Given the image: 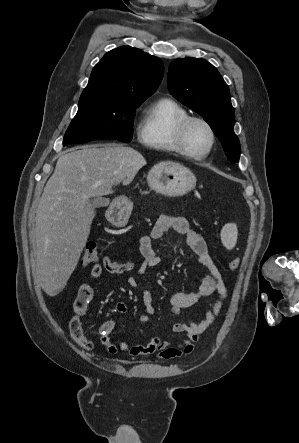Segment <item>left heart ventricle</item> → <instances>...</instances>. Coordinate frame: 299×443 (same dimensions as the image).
Wrapping results in <instances>:
<instances>
[{
    "label": "left heart ventricle",
    "instance_id": "obj_1",
    "mask_svg": "<svg viewBox=\"0 0 299 443\" xmlns=\"http://www.w3.org/2000/svg\"><path fill=\"white\" fill-rule=\"evenodd\" d=\"M211 137L206 126L200 122H192L186 134V145L192 153L205 152L210 145Z\"/></svg>",
    "mask_w": 299,
    "mask_h": 443
}]
</instances>
